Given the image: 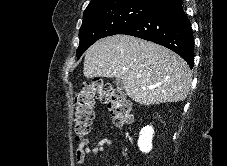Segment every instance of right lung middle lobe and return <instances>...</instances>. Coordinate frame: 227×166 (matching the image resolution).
<instances>
[{"label": "right lung middle lobe", "instance_id": "1", "mask_svg": "<svg viewBox=\"0 0 227 166\" xmlns=\"http://www.w3.org/2000/svg\"><path fill=\"white\" fill-rule=\"evenodd\" d=\"M154 6L128 2L100 8L84 13L83 23L79 30L80 44L77 58L97 40L119 34L149 13Z\"/></svg>", "mask_w": 227, "mask_h": 166}]
</instances>
